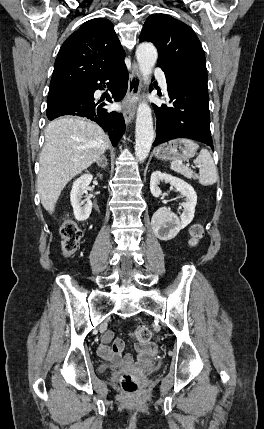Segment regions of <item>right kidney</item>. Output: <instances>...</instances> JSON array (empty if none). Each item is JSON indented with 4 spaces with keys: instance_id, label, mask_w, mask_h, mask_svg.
I'll return each mask as SVG.
<instances>
[{
    "instance_id": "obj_1",
    "label": "right kidney",
    "mask_w": 264,
    "mask_h": 429,
    "mask_svg": "<svg viewBox=\"0 0 264 429\" xmlns=\"http://www.w3.org/2000/svg\"><path fill=\"white\" fill-rule=\"evenodd\" d=\"M98 176L102 178L101 174H98ZM92 179L93 176L91 174H84L73 183L70 193V201L77 221H85L91 214V200L89 198L82 200V197L84 194H87V189Z\"/></svg>"
}]
</instances>
